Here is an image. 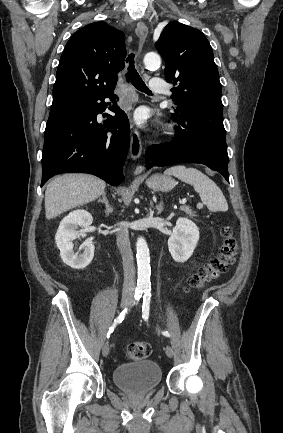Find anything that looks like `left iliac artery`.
Here are the masks:
<instances>
[{"instance_id":"1","label":"left iliac artery","mask_w":283,"mask_h":433,"mask_svg":"<svg viewBox=\"0 0 283 433\" xmlns=\"http://www.w3.org/2000/svg\"><path fill=\"white\" fill-rule=\"evenodd\" d=\"M150 301H151V289L149 287H146L144 289V296H143V304H142V317L146 321L149 318V310H150ZM162 334L166 337H170V334L168 331H162Z\"/></svg>"}]
</instances>
